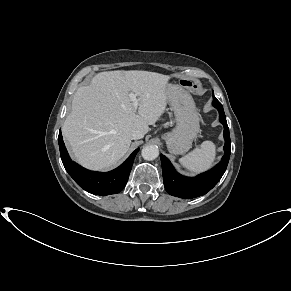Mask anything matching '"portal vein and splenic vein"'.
<instances>
[{"label": "portal vein and splenic vein", "instance_id": "1", "mask_svg": "<svg viewBox=\"0 0 291 291\" xmlns=\"http://www.w3.org/2000/svg\"><path fill=\"white\" fill-rule=\"evenodd\" d=\"M129 98L130 100L132 101L133 103V107L135 110H137L138 106H139V102H138V99L136 98V94L134 93H130L129 94Z\"/></svg>", "mask_w": 291, "mask_h": 291}]
</instances>
